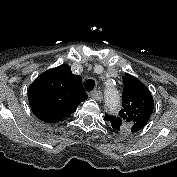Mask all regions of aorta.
I'll use <instances>...</instances> for the list:
<instances>
[{
    "instance_id": "aorta-1",
    "label": "aorta",
    "mask_w": 177,
    "mask_h": 177,
    "mask_svg": "<svg viewBox=\"0 0 177 177\" xmlns=\"http://www.w3.org/2000/svg\"><path fill=\"white\" fill-rule=\"evenodd\" d=\"M105 105L110 112H115L120 106V96L113 86L105 89Z\"/></svg>"
}]
</instances>
